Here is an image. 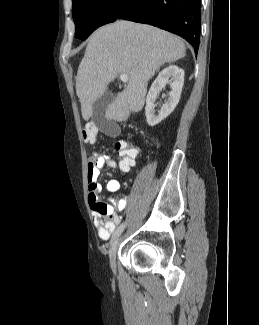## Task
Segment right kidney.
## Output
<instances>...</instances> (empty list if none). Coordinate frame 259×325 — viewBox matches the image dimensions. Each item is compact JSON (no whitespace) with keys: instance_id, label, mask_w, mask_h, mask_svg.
I'll return each mask as SVG.
<instances>
[{"instance_id":"1","label":"right kidney","mask_w":259,"mask_h":325,"mask_svg":"<svg viewBox=\"0 0 259 325\" xmlns=\"http://www.w3.org/2000/svg\"><path fill=\"white\" fill-rule=\"evenodd\" d=\"M169 84L171 92L168 101L162 106L161 110L155 115V101L158 93ZM184 84V70L176 65H169L164 68L152 83L146 98L145 115L149 126H155L168 117L177 106L182 87Z\"/></svg>"}]
</instances>
